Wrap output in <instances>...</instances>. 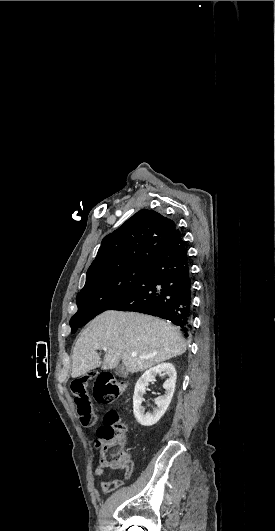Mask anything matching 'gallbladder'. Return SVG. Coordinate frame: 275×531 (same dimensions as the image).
Wrapping results in <instances>:
<instances>
[{
	"label": "gallbladder",
	"mask_w": 275,
	"mask_h": 531,
	"mask_svg": "<svg viewBox=\"0 0 275 531\" xmlns=\"http://www.w3.org/2000/svg\"><path fill=\"white\" fill-rule=\"evenodd\" d=\"M115 373H116V375H118V377H127V375H128V371H127L126 367H124V365H122V363H119L118 367H116Z\"/></svg>",
	"instance_id": "gallbladder-1"
}]
</instances>
